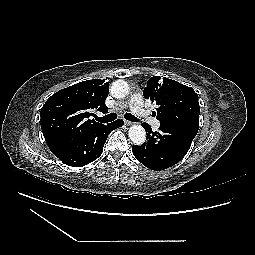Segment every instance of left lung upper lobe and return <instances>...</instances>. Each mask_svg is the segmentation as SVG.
Listing matches in <instances>:
<instances>
[{"mask_svg": "<svg viewBox=\"0 0 255 255\" xmlns=\"http://www.w3.org/2000/svg\"><path fill=\"white\" fill-rule=\"evenodd\" d=\"M143 95L158 106L153 114L160 123L199 128L198 95L192 87L156 76L148 80Z\"/></svg>", "mask_w": 255, "mask_h": 255, "instance_id": "left-lung-upper-lobe-1", "label": "left lung upper lobe"}]
</instances>
